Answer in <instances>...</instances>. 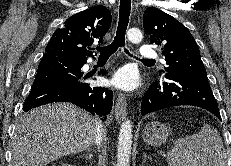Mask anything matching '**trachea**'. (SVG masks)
<instances>
[{"label": "trachea", "mask_w": 231, "mask_h": 166, "mask_svg": "<svg viewBox=\"0 0 231 166\" xmlns=\"http://www.w3.org/2000/svg\"><path fill=\"white\" fill-rule=\"evenodd\" d=\"M131 10V0H120L119 22L116 36L111 44L104 47H97L96 50L100 52V57H110L119 47L125 45V34L129 23V16ZM126 54L129 51L125 49ZM142 61H154L153 59H142Z\"/></svg>", "instance_id": "trachea-1"}]
</instances>
